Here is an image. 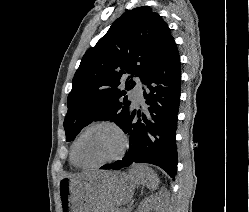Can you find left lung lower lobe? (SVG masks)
Returning <instances> with one entry per match:
<instances>
[{"label":"left lung lower lobe","mask_w":249,"mask_h":212,"mask_svg":"<svg viewBox=\"0 0 249 212\" xmlns=\"http://www.w3.org/2000/svg\"><path fill=\"white\" fill-rule=\"evenodd\" d=\"M142 83L146 85L145 109L131 110L120 126L129 135V150L122 160L104 165L101 169L150 163L174 178L177 172L175 138L181 90L180 59L174 40L155 61ZM136 115L139 117L137 121L133 120Z\"/></svg>","instance_id":"1"}]
</instances>
